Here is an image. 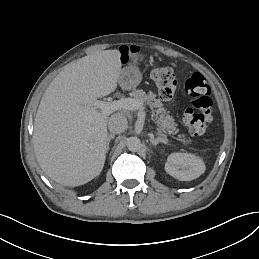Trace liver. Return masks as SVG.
I'll return each mask as SVG.
<instances>
[{
    "instance_id": "liver-1",
    "label": "liver",
    "mask_w": 259,
    "mask_h": 259,
    "mask_svg": "<svg viewBox=\"0 0 259 259\" xmlns=\"http://www.w3.org/2000/svg\"><path fill=\"white\" fill-rule=\"evenodd\" d=\"M118 50L95 51L64 67L46 89L34 120V153L55 182L79 186L103 169L108 117L93 103L117 88Z\"/></svg>"
}]
</instances>
